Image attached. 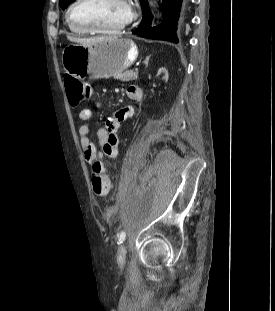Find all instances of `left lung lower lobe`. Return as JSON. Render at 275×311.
<instances>
[{"label":"left lung lower lobe","mask_w":275,"mask_h":311,"mask_svg":"<svg viewBox=\"0 0 275 311\" xmlns=\"http://www.w3.org/2000/svg\"><path fill=\"white\" fill-rule=\"evenodd\" d=\"M143 17L140 25L132 33L138 36L167 40L178 43L185 19L186 0H163L161 10L165 13L164 22L158 27H151L153 15L150 12L148 1L141 3Z\"/></svg>","instance_id":"0a47b994"}]
</instances>
